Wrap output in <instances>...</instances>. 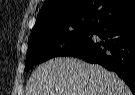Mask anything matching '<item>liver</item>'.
<instances>
[{
	"instance_id": "1",
	"label": "liver",
	"mask_w": 135,
	"mask_h": 95,
	"mask_svg": "<svg viewBox=\"0 0 135 95\" xmlns=\"http://www.w3.org/2000/svg\"><path fill=\"white\" fill-rule=\"evenodd\" d=\"M25 95H131L115 73L74 58H55L30 76Z\"/></svg>"
}]
</instances>
